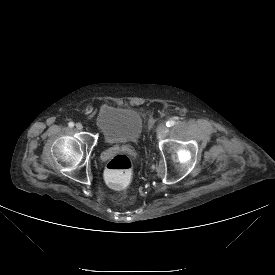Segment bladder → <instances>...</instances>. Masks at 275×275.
<instances>
[{
  "label": "bladder",
  "instance_id": "obj_1",
  "mask_svg": "<svg viewBox=\"0 0 275 275\" xmlns=\"http://www.w3.org/2000/svg\"><path fill=\"white\" fill-rule=\"evenodd\" d=\"M104 140L110 144L135 142L144 127L143 116L133 107L103 105L95 118Z\"/></svg>",
  "mask_w": 275,
  "mask_h": 275
}]
</instances>
